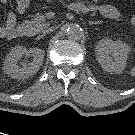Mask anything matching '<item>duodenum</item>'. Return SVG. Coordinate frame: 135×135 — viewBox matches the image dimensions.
<instances>
[{
    "instance_id": "obj_1",
    "label": "duodenum",
    "mask_w": 135,
    "mask_h": 135,
    "mask_svg": "<svg viewBox=\"0 0 135 135\" xmlns=\"http://www.w3.org/2000/svg\"><path fill=\"white\" fill-rule=\"evenodd\" d=\"M24 34H25V32H24L23 29L17 28V29H16V33H15V35L13 36V38H14V37H15V38L21 37V36H23Z\"/></svg>"
}]
</instances>
